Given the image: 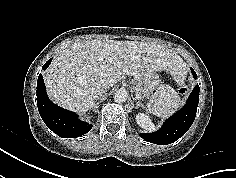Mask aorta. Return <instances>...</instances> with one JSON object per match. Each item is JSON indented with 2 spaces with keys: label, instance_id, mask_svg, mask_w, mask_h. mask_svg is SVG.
<instances>
[{
  "label": "aorta",
  "instance_id": "762f6f07",
  "mask_svg": "<svg viewBox=\"0 0 236 178\" xmlns=\"http://www.w3.org/2000/svg\"><path fill=\"white\" fill-rule=\"evenodd\" d=\"M128 98V95H127V92L125 90H117L114 94V100L117 102V103H123L127 100Z\"/></svg>",
  "mask_w": 236,
  "mask_h": 178
}]
</instances>
